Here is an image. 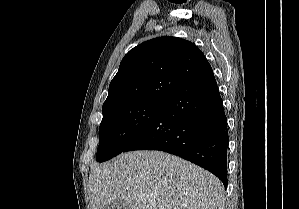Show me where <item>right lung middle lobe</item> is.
<instances>
[{
  "instance_id": "dd1d6c3e",
  "label": "right lung middle lobe",
  "mask_w": 299,
  "mask_h": 209,
  "mask_svg": "<svg viewBox=\"0 0 299 209\" xmlns=\"http://www.w3.org/2000/svg\"><path fill=\"white\" fill-rule=\"evenodd\" d=\"M164 102L142 101L103 112L96 159L103 162L120 154L149 125Z\"/></svg>"
}]
</instances>
